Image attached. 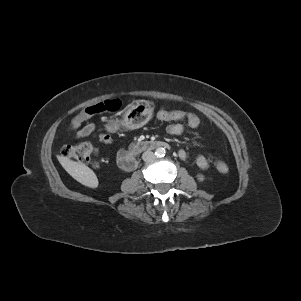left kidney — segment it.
<instances>
[{
    "label": "left kidney",
    "instance_id": "5707ae66",
    "mask_svg": "<svg viewBox=\"0 0 301 301\" xmlns=\"http://www.w3.org/2000/svg\"><path fill=\"white\" fill-rule=\"evenodd\" d=\"M197 179L202 182L204 180V177L202 175H198Z\"/></svg>",
    "mask_w": 301,
    "mask_h": 301
}]
</instances>
